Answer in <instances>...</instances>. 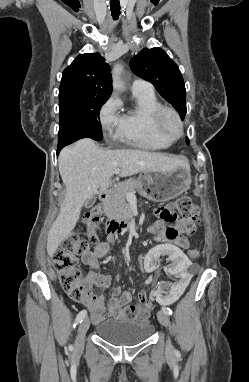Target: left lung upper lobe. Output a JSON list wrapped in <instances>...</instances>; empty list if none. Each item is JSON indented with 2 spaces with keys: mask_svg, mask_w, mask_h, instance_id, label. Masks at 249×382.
I'll return each mask as SVG.
<instances>
[{
  "mask_svg": "<svg viewBox=\"0 0 249 382\" xmlns=\"http://www.w3.org/2000/svg\"><path fill=\"white\" fill-rule=\"evenodd\" d=\"M131 70L151 82L158 93L171 103L180 114H186V90L181 72L161 48L143 49L130 61ZM189 145L188 138L186 139Z\"/></svg>",
  "mask_w": 249,
  "mask_h": 382,
  "instance_id": "obj_1",
  "label": "left lung upper lobe"
}]
</instances>
